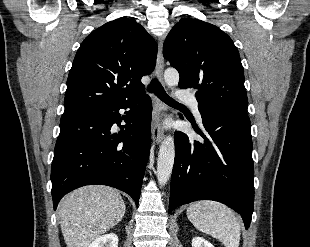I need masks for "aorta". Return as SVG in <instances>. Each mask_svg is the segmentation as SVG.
<instances>
[{"mask_svg": "<svg viewBox=\"0 0 310 247\" xmlns=\"http://www.w3.org/2000/svg\"><path fill=\"white\" fill-rule=\"evenodd\" d=\"M164 79L168 86H175L179 82V73L177 70L169 68L164 73ZM174 157V139L172 136H167L161 143L157 159V179L161 187L167 183L171 176Z\"/></svg>", "mask_w": 310, "mask_h": 247, "instance_id": "762f6f07", "label": "aorta"}]
</instances>
